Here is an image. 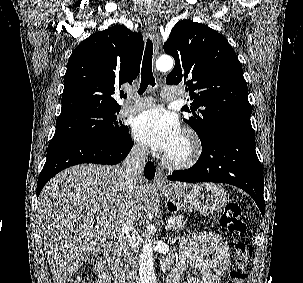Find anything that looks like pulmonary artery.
Returning a JSON list of instances; mask_svg holds the SVG:
<instances>
[{
	"label": "pulmonary artery",
	"instance_id": "1",
	"mask_svg": "<svg viewBox=\"0 0 303 283\" xmlns=\"http://www.w3.org/2000/svg\"><path fill=\"white\" fill-rule=\"evenodd\" d=\"M162 98L165 100H174L179 98L181 91L174 86H164L162 90ZM154 99L150 96L137 97L133 92H129L128 101L125 103L119 111L121 117L134 115L145 108L152 106Z\"/></svg>",
	"mask_w": 303,
	"mask_h": 283
}]
</instances>
